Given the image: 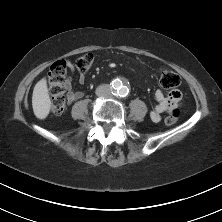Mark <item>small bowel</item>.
<instances>
[{
	"label": "small bowel",
	"mask_w": 222,
	"mask_h": 222,
	"mask_svg": "<svg viewBox=\"0 0 222 222\" xmlns=\"http://www.w3.org/2000/svg\"><path fill=\"white\" fill-rule=\"evenodd\" d=\"M70 68L72 71H74V67L72 65L70 66ZM85 79V74L80 73L79 82L83 84L85 82ZM65 89L69 102H74L83 96V93L81 91L74 90L72 77L66 78ZM154 96L157 104L150 111V118L154 122H159L163 113L170 112L171 109L181 110L185 106V99L182 92L179 90L170 91L168 97H166L161 90H157Z\"/></svg>",
	"instance_id": "obj_1"
}]
</instances>
